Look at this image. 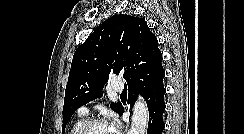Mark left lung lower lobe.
<instances>
[{
  "label": "left lung lower lobe",
  "instance_id": "0a47b994",
  "mask_svg": "<svg viewBox=\"0 0 244 134\" xmlns=\"http://www.w3.org/2000/svg\"><path fill=\"white\" fill-rule=\"evenodd\" d=\"M139 93L145 98L149 110L147 134H162L165 127L163 121V113L165 111V103L163 100L165 88L163 85V78H155L142 90L128 89V103L131 107L137 100ZM123 111L124 109L122 108L119 114L122 115Z\"/></svg>",
  "mask_w": 244,
  "mask_h": 134
}]
</instances>
